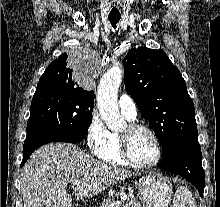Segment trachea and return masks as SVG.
Here are the masks:
<instances>
[{"instance_id":"obj_1","label":"trachea","mask_w":220,"mask_h":207,"mask_svg":"<svg viewBox=\"0 0 220 207\" xmlns=\"http://www.w3.org/2000/svg\"><path fill=\"white\" fill-rule=\"evenodd\" d=\"M111 25L113 26V28H116L117 23L120 20V17H108Z\"/></svg>"}]
</instances>
